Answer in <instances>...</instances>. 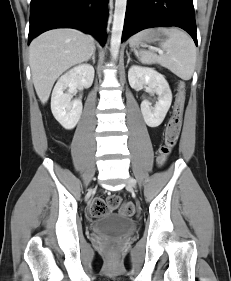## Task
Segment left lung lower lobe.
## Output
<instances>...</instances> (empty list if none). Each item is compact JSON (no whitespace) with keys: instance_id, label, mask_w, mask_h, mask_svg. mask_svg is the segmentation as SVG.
<instances>
[{"instance_id":"0a47b994","label":"left lung lower lobe","mask_w":231,"mask_h":281,"mask_svg":"<svg viewBox=\"0 0 231 281\" xmlns=\"http://www.w3.org/2000/svg\"><path fill=\"white\" fill-rule=\"evenodd\" d=\"M168 26L184 29L197 45L192 0H127L122 41L146 28Z\"/></svg>"}]
</instances>
